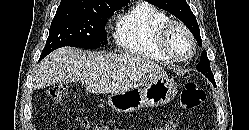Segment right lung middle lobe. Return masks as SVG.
<instances>
[{
	"instance_id": "right-lung-middle-lobe-1",
	"label": "right lung middle lobe",
	"mask_w": 249,
	"mask_h": 130,
	"mask_svg": "<svg viewBox=\"0 0 249 130\" xmlns=\"http://www.w3.org/2000/svg\"><path fill=\"white\" fill-rule=\"evenodd\" d=\"M124 5L115 4L96 11L58 7L40 59L64 46L95 49L106 45L107 18Z\"/></svg>"
}]
</instances>
